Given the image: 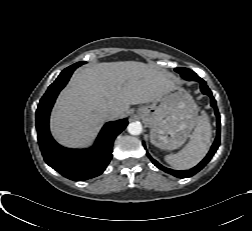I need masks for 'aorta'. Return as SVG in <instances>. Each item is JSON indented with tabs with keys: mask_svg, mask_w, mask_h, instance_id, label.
<instances>
[{
	"mask_svg": "<svg viewBox=\"0 0 252 231\" xmlns=\"http://www.w3.org/2000/svg\"><path fill=\"white\" fill-rule=\"evenodd\" d=\"M127 130L131 135H139L142 132V125L140 122H132L127 126Z\"/></svg>",
	"mask_w": 252,
	"mask_h": 231,
	"instance_id": "aorta-1",
	"label": "aorta"
}]
</instances>
